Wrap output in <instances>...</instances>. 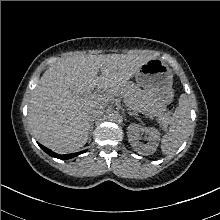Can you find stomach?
I'll return each instance as SVG.
<instances>
[{
	"instance_id": "obj_1",
	"label": "stomach",
	"mask_w": 220,
	"mask_h": 220,
	"mask_svg": "<svg viewBox=\"0 0 220 220\" xmlns=\"http://www.w3.org/2000/svg\"><path fill=\"white\" fill-rule=\"evenodd\" d=\"M139 87L144 89L139 105L134 109L150 112L154 106H166L173 101V74L161 59L153 58L144 63L135 74Z\"/></svg>"
}]
</instances>
